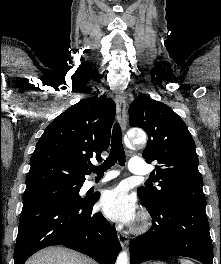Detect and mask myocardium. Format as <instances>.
Listing matches in <instances>:
<instances>
[{
    "instance_id": "1",
    "label": "myocardium",
    "mask_w": 221,
    "mask_h": 264,
    "mask_svg": "<svg viewBox=\"0 0 221 264\" xmlns=\"http://www.w3.org/2000/svg\"><path fill=\"white\" fill-rule=\"evenodd\" d=\"M149 226H150L149 215L146 212L141 213L136 226V231L138 232L145 231L146 229H148Z\"/></svg>"
}]
</instances>
